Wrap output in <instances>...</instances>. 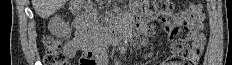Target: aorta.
I'll return each mask as SVG.
<instances>
[{
    "label": "aorta",
    "instance_id": "762f6f07",
    "mask_svg": "<svg viewBox=\"0 0 232 65\" xmlns=\"http://www.w3.org/2000/svg\"><path fill=\"white\" fill-rule=\"evenodd\" d=\"M133 27V16L129 12H125L123 15V48L128 46L129 39L131 38Z\"/></svg>",
    "mask_w": 232,
    "mask_h": 65
}]
</instances>
